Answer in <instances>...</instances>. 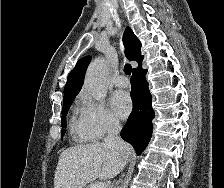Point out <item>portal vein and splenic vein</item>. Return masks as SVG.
Masks as SVG:
<instances>
[{
	"mask_svg": "<svg viewBox=\"0 0 224 188\" xmlns=\"http://www.w3.org/2000/svg\"><path fill=\"white\" fill-rule=\"evenodd\" d=\"M91 188H106V185L102 182H97V183L91 184Z\"/></svg>",
	"mask_w": 224,
	"mask_h": 188,
	"instance_id": "portal-vein-and-splenic-vein-1",
	"label": "portal vein and splenic vein"
}]
</instances>
